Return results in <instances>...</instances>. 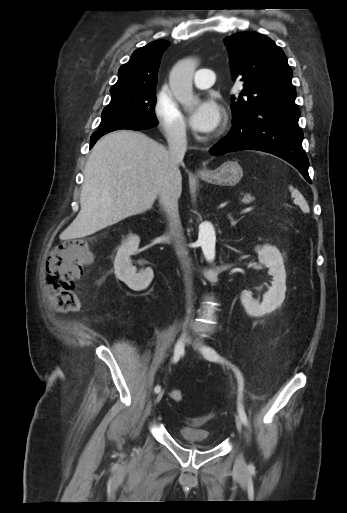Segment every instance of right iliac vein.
I'll return each mask as SVG.
<instances>
[{"instance_id":"right-iliac-vein-1","label":"right iliac vein","mask_w":347,"mask_h":513,"mask_svg":"<svg viewBox=\"0 0 347 513\" xmlns=\"http://www.w3.org/2000/svg\"><path fill=\"white\" fill-rule=\"evenodd\" d=\"M181 341L183 344H186L189 341V331L188 324L185 323L183 327V332L181 334ZM164 395V391H160L156 396L155 403H159Z\"/></svg>"}]
</instances>
